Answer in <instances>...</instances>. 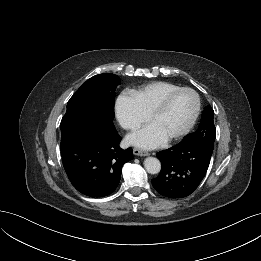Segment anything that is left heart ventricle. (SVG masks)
I'll list each match as a JSON object with an SVG mask.
<instances>
[{"instance_id": "left-heart-ventricle-1", "label": "left heart ventricle", "mask_w": 261, "mask_h": 261, "mask_svg": "<svg viewBox=\"0 0 261 261\" xmlns=\"http://www.w3.org/2000/svg\"><path fill=\"white\" fill-rule=\"evenodd\" d=\"M195 104L193 94L189 92L181 93L174 97L167 109L151 122L168 138L180 132L188 124L194 112Z\"/></svg>"}]
</instances>
